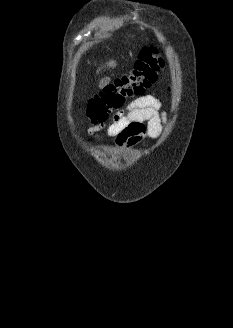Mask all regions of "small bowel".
<instances>
[{"instance_id": "small-bowel-1", "label": "small bowel", "mask_w": 233, "mask_h": 328, "mask_svg": "<svg viewBox=\"0 0 233 328\" xmlns=\"http://www.w3.org/2000/svg\"><path fill=\"white\" fill-rule=\"evenodd\" d=\"M166 121L160 101L154 96L139 97L120 109L106 127L108 136L114 138L116 147L133 148L146 136L156 138ZM105 128L103 123L89 130L90 134Z\"/></svg>"}]
</instances>
